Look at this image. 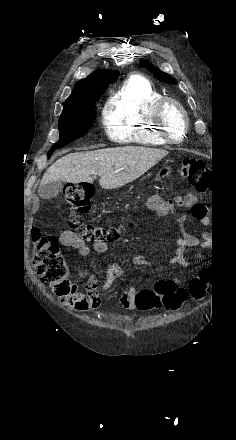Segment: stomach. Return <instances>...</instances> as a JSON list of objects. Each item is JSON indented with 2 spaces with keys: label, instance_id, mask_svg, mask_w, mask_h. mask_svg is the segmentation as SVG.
I'll list each match as a JSON object with an SVG mask.
<instances>
[{
  "label": "stomach",
  "instance_id": "stomach-1",
  "mask_svg": "<svg viewBox=\"0 0 236 440\" xmlns=\"http://www.w3.org/2000/svg\"><path fill=\"white\" fill-rule=\"evenodd\" d=\"M172 168L170 166H163L156 174V180H162L168 177L171 173Z\"/></svg>",
  "mask_w": 236,
  "mask_h": 440
}]
</instances>
